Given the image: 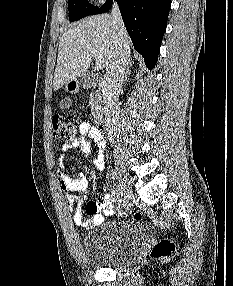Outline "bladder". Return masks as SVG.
<instances>
[{
	"label": "bladder",
	"mask_w": 233,
	"mask_h": 286,
	"mask_svg": "<svg viewBox=\"0 0 233 286\" xmlns=\"http://www.w3.org/2000/svg\"><path fill=\"white\" fill-rule=\"evenodd\" d=\"M144 236L145 229L137 221L126 220L101 227L83 240V258L97 268L121 267L136 254Z\"/></svg>",
	"instance_id": "bladder-1"
}]
</instances>
